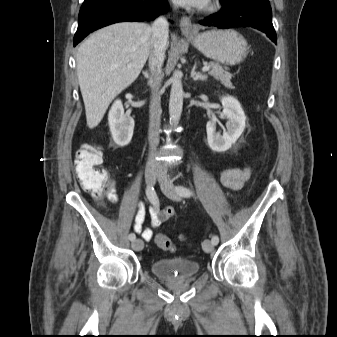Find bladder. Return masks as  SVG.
I'll return each mask as SVG.
<instances>
[{"label": "bladder", "mask_w": 337, "mask_h": 337, "mask_svg": "<svg viewBox=\"0 0 337 337\" xmlns=\"http://www.w3.org/2000/svg\"><path fill=\"white\" fill-rule=\"evenodd\" d=\"M150 269L159 278H191L199 273L200 265L187 258L173 257L154 260Z\"/></svg>", "instance_id": "1"}]
</instances>
